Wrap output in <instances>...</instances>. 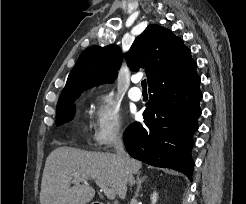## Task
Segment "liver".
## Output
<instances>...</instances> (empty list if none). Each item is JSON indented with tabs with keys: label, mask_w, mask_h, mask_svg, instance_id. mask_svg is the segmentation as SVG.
<instances>
[{
	"label": "liver",
	"mask_w": 246,
	"mask_h": 204,
	"mask_svg": "<svg viewBox=\"0 0 246 204\" xmlns=\"http://www.w3.org/2000/svg\"><path fill=\"white\" fill-rule=\"evenodd\" d=\"M141 167L140 161L130 157L125 166L116 154L58 147L46 159L40 204H87L95 195L89 180L105 183L124 199L128 173L136 174Z\"/></svg>",
	"instance_id": "6515ba94"
}]
</instances>
